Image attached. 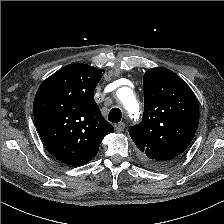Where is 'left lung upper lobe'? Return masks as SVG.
Returning <instances> with one entry per match:
<instances>
[{
  "mask_svg": "<svg viewBox=\"0 0 224 224\" xmlns=\"http://www.w3.org/2000/svg\"><path fill=\"white\" fill-rule=\"evenodd\" d=\"M144 114L129 134L153 167L173 164L192 142L199 107L190 87L169 69H148L143 77Z\"/></svg>",
  "mask_w": 224,
  "mask_h": 224,
  "instance_id": "5c2ea615",
  "label": "left lung upper lobe"
}]
</instances>
